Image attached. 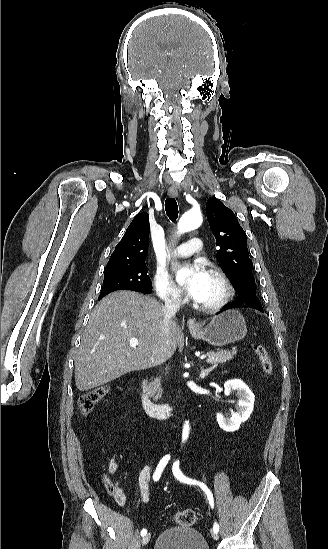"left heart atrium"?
I'll use <instances>...</instances> for the list:
<instances>
[{"instance_id": "obj_1", "label": "left heart atrium", "mask_w": 328, "mask_h": 549, "mask_svg": "<svg viewBox=\"0 0 328 549\" xmlns=\"http://www.w3.org/2000/svg\"><path fill=\"white\" fill-rule=\"evenodd\" d=\"M206 277L205 270L199 267L188 268L180 284L181 292L189 299H199L205 286Z\"/></svg>"}]
</instances>
